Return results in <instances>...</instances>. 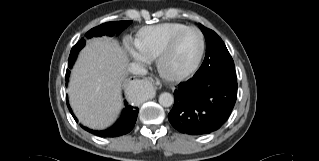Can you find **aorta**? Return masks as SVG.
<instances>
[{
	"mask_svg": "<svg viewBox=\"0 0 319 161\" xmlns=\"http://www.w3.org/2000/svg\"><path fill=\"white\" fill-rule=\"evenodd\" d=\"M151 87L150 85H145L144 87H142L139 91V96L140 97H146V91L150 90ZM174 102V98L172 96V94L164 92L159 96V103L163 106V107H170Z\"/></svg>",
	"mask_w": 319,
	"mask_h": 161,
	"instance_id": "762f6f07",
	"label": "aorta"
}]
</instances>
